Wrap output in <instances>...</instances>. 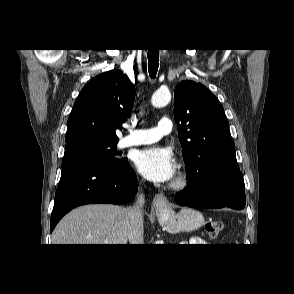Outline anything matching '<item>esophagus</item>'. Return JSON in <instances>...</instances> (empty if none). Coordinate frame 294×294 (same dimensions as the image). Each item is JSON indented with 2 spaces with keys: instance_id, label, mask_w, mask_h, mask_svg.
Masks as SVG:
<instances>
[{
  "instance_id": "obj_1",
  "label": "esophagus",
  "mask_w": 294,
  "mask_h": 294,
  "mask_svg": "<svg viewBox=\"0 0 294 294\" xmlns=\"http://www.w3.org/2000/svg\"><path fill=\"white\" fill-rule=\"evenodd\" d=\"M153 213L166 214L172 212V206L166 196L161 193L155 195Z\"/></svg>"
}]
</instances>
